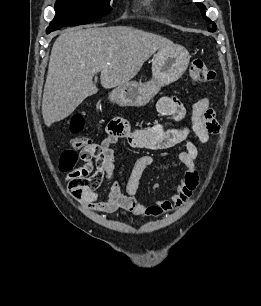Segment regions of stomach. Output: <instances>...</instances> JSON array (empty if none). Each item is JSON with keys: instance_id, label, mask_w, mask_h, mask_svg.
<instances>
[{"instance_id": "0dacf381", "label": "stomach", "mask_w": 261, "mask_h": 306, "mask_svg": "<svg viewBox=\"0 0 261 306\" xmlns=\"http://www.w3.org/2000/svg\"><path fill=\"white\" fill-rule=\"evenodd\" d=\"M190 60L188 51L181 45L162 47L153 56L152 79L145 83L130 81L116 86L109 99L123 107L146 105L161 89L177 81L186 71Z\"/></svg>"}]
</instances>
